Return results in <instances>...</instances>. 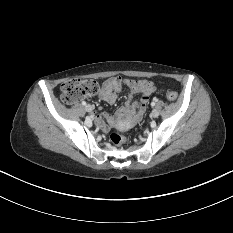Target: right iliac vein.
<instances>
[{
  "label": "right iliac vein",
  "instance_id": "1",
  "mask_svg": "<svg viewBox=\"0 0 233 233\" xmlns=\"http://www.w3.org/2000/svg\"><path fill=\"white\" fill-rule=\"evenodd\" d=\"M85 110L87 111V112H91L92 110H93V107L91 106V105H86L85 106Z\"/></svg>",
  "mask_w": 233,
  "mask_h": 233
}]
</instances>
